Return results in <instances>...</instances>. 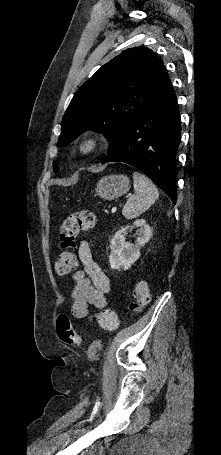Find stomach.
<instances>
[{
	"instance_id": "1",
	"label": "stomach",
	"mask_w": 221,
	"mask_h": 455,
	"mask_svg": "<svg viewBox=\"0 0 221 455\" xmlns=\"http://www.w3.org/2000/svg\"><path fill=\"white\" fill-rule=\"evenodd\" d=\"M130 188V180L126 175H107L102 177L95 188L98 196L105 200H114Z\"/></svg>"
}]
</instances>
